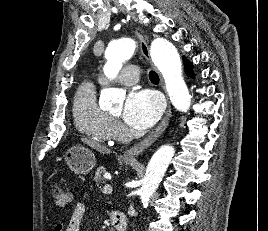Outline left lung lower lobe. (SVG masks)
Wrapping results in <instances>:
<instances>
[{
	"label": "left lung lower lobe",
	"mask_w": 268,
	"mask_h": 231,
	"mask_svg": "<svg viewBox=\"0 0 268 231\" xmlns=\"http://www.w3.org/2000/svg\"><path fill=\"white\" fill-rule=\"evenodd\" d=\"M183 61L185 62V70H186V73L187 74H191V76H194L190 61L187 60L186 58H184Z\"/></svg>",
	"instance_id": "0a47b994"
}]
</instances>
